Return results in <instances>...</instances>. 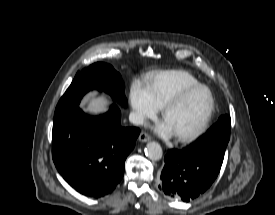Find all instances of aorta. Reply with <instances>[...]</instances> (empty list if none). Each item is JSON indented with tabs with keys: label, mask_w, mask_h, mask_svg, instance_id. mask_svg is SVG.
Wrapping results in <instances>:
<instances>
[{
	"label": "aorta",
	"mask_w": 275,
	"mask_h": 215,
	"mask_svg": "<svg viewBox=\"0 0 275 215\" xmlns=\"http://www.w3.org/2000/svg\"><path fill=\"white\" fill-rule=\"evenodd\" d=\"M145 154L150 160L157 161L162 158L163 151L157 142H149L146 146Z\"/></svg>",
	"instance_id": "obj_1"
}]
</instances>
